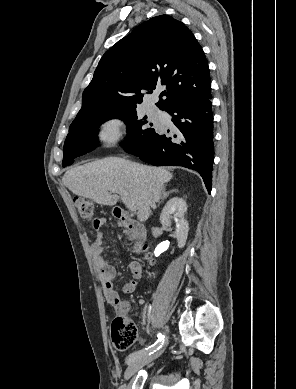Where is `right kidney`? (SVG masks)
I'll return each mask as SVG.
<instances>
[{"mask_svg": "<svg viewBox=\"0 0 296 389\" xmlns=\"http://www.w3.org/2000/svg\"><path fill=\"white\" fill-rule=\"evenodd\" d=\"M187 211V205L184 199L179 197L171 198L164 206L160 215L162 226L171 230L172 219L176 222L175 237L177 238L178 247L183 248L188 237L189 224L184 218Z\"/></svg>", "mask_w": 296, "mask_h": 389, "instance_id": "ca27d5eb", "label": "right kidney"}]
</instances>
